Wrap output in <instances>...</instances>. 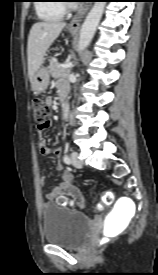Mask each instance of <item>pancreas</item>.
<instances>
[{"label":"pancreas","instance_id":"cf45deb5","mask_svg":"<svg viewBox=\"0 0 158 275\" xmlns=\"http://www.w3.org/2000/svg\"><path fill=\"white\" fill-rule=\"evenodd\" d=\"M49 73L53 78L66 77L70 73V68L59 67V62L56 58L50 59L48 66Z\"/></svg>","mask_w":158,"mask_h":275}]
</instances>
